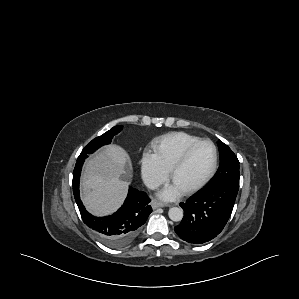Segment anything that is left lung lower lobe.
<instances>
[{
  "mask_svg": "<svg viewBox=\"0 0 299 299\" xmlns=\"http://www.w3.org/2000/svg\"><path fill=\"white\" fill-rule=\"evenodd\" d=\"M238 190L229 186L205 187L180 206L184 217L175 232L184 241L202 244L215 238L226 225Z\"/></svg>",
  "mask_w": 299,
  "mask_h": 299,
  "instance_id": "obj_1",
  "label": "left lung lower lobe"
}]
</instances>
